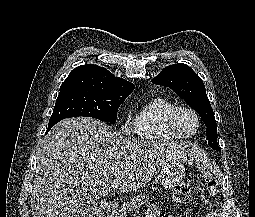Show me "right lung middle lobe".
I'll return each mask as SVG.
<instances>
[{
    "label": "right lung middle lobe",
    "instance_id": "right-lung-middle-lobe-1",
    "mask_svg": "<svg viewBox=\"0 0 255 217\" xmlns=\"http://www.w3.org/2000/svg\"><path fill=\"white\" fill-rule=\"evenodd\" d=\"M130 93H106L85 89L60 90L49 124L69 117H92L114 123L117 111Z\"/></svg>",
    "mask_w": 255,
    "mask_h": 217
}]
</instances>
